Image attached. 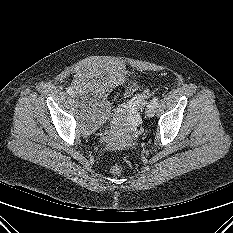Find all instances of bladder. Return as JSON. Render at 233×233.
I'll use <instances>...</instances> for the list:
<instances>
[{"mask_svg":"<svg viewBox=\"0 0 233 233\" xmlns=\"http://www.w3.org/2000/svg\"><path fill=\"white\" fill-rule=\"evenodd\" d=\"M124 81V71L112 65L92 62L78 70L72 86L73 97L85 132L95 131L108 120V95Z\"/></svg>","mask_w":233,"mask_h":233,"instance_id":"bladder-1","label":"bladder"}]
</instances>
